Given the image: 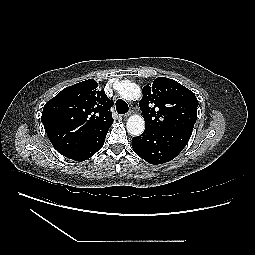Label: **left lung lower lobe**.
Listing matches in <instances>:
<instances>
[{
  "label": "left lung lower lobe",
  "mask_w": 255,
  "mask_h": 255,
  "mask_svg": "<svg viewBox=\"0 0 255 255\" xmlns=\"http://www.w3.org/2000/svg\"><path fill=\"white\" fill-rule=\"evenodd\" d=\"M190 137L182 132L145 129L140 136L132 138V148L148 163L163 164L174 159Z\"/></svg>",
  "instance_id": "obj_1"
}]
</instances>
